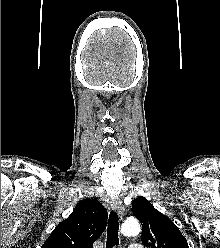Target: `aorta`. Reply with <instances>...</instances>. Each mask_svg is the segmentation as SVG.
I'll list each match as a JSON object with an SVG mask.
<instances>
[{
    "label": "aorta",
    "mask_w": 220,
    "mask_h": 248,
    "mask_svg": "<svg viewBox=\"0 0 220 248\" xmlns=\"http://www.w3.org/2000/svg\"><path fill=\"white\" fill-rule=\"evenodd\" d=\"M141 227L136 219H127L121 227V233L124 236H136L140 233Z\"/></svg>",
    "instance_id": "1"
}]
</instances>
